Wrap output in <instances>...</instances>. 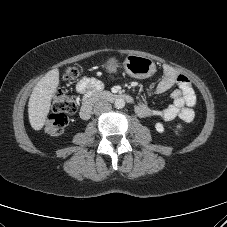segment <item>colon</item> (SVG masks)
<instances>
[{
	"label": "colon",
	"mask_w": 227,
	"mask_h": 227,
	"mask_svg": "<svg viewBox=\"0 0 227 227\" xmlns=\"http://www.w3.org/2000/svg\"><path fill=\"white\" fill-rule=\"evenodd\" d=\"M78 75L76 69L69 71L67 77L75 79ZM53 113L50 114L45 122V130L49 135L57 136L63 133L68 124V114L76 110L75 99L63 90L55 92L52 101Z\"/></svg>",
	"instance_id": "colon-1"
}]
</instances>
